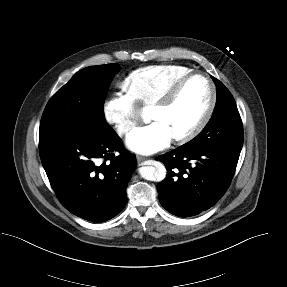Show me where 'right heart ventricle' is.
I'll return each instance as SVG.
<instances>
[{
  "mask_svg": "<svg viewBox=\"0 0 287 287\" xmlns=\"http://www.w3.org/2000/svg\"><path fill=\"white\" fill-rule=\"evenodd\" d=\"M181 65H155L137 69L126 79V86L137 102L153 105L182 76L190 73Z\"/></svg>",
  "mask_w": 287,
  "mask_h": 287,
  "instance_id": "1",
  "label": "right heart ventricle"
}]
</instances>
